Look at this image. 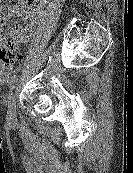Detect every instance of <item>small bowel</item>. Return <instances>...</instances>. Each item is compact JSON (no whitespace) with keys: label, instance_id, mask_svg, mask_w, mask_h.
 I'll return each instance as SVG.
<instances>
[{"label":"small bowel","instance_id":"1","mask_svg":"<svg viewBox=\"0 0 133 173\" xmlns=\"http://www.w3.org/2000/svg\"><path fill=\"white\" fill-rule=\"evenodd\" d=\"M48 0H22L16 4L9 12L8 15L0 18V26H3L10 17L23 16L27 22V26L23 30H19L17 26L10 27L8 33L10 35L18 34L23 37L24 40L29 37L33 32L35 26L39 22L43 8ZM9 40L6 37L3 30L0 29V47H4L8 44Z\"/></svg>","mask_w":133,"mask_h":173}]
</instances>
